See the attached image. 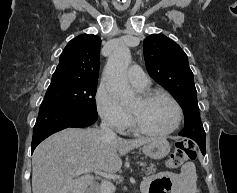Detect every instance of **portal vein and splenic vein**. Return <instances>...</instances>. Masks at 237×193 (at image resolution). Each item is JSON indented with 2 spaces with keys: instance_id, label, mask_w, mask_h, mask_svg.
Here are the masks:
<instances>
[{
  "instance_id": "18ae733b",
  "label": "portal vein and splenic vein",
  "mask_w": 237,
  "mask_h": 193,
  "mask_svg": "<svg viewBox=\"0 0 237 193\" xmlns=\"http://www.w3.org/2000/svg\"><path fill=\"white\" fill-rule=\"evenodd\" d=\"M88 172H94L97 175H100V176H102L104 178H108V179H112V180H116V179L120 178L119 175H116L114 173L93 171V170H91L89 168H78L75 171V175H80V174L88 173Z\"/></svg>"
}]
</instances>
